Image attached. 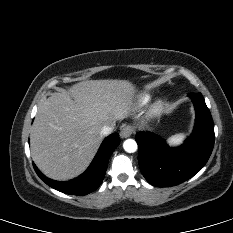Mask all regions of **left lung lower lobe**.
<instances>
[{
	"label": "left lung lower lobe",
	"instance_id": "obj_1",
	"mask_svg": "<svg viewBox=\"0 0 233 233\" xmlns=\"http://www.w3.org/2000/svg\"><path fill=\"white\" fill-rule=\"evenodd\" d=\"M196 111L192 135L178 148H169L151 132H138V161L145 179L157 187H170L192 178L208 161L214 146V124L202 94L188 95Z\"/></svg>",
	"mask_w": 233,
	"mask_h": 233
}]
</instances>
